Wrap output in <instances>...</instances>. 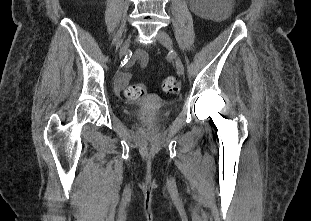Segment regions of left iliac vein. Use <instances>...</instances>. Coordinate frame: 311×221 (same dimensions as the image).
Instances as JSON below:
<instances>
[{
  "instance_id": "left-iliac-vein-1",
  "label": "left iliac vein",
  "mask_w": 311,
  "mask_h": 221,
  "mask_svg": "<svg viewBox=\"0 0 311 221\" xmlns=\"http://www.w3.org/2000/svg\"><path fill=\"white\" fill-rule=\"evenodd\" d=\"M157 39L164 47L170 50L173 48L172 39L168 35V33H166L165 31L163 30L158 31ZM174 59H175V66H176L177 73L179 75L184 74L183 62L181 61V59L179 58L177 54H174Z\"/></svg>"
}]
</instances>
